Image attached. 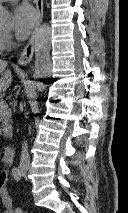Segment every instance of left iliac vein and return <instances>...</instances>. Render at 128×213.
Here are the masks:
<instances>
[{
	"label": "left iliac vein",
	"mask_w": 128,
	"mask_h": 213,
	"mask_svg": "<svg viewBox=\"0 0 128 213\" xmlns=\"http://www.w3.org/2000/svg\"><path fill=\"white\" fill-rule=\"evenodd\" d=\"M22 175L24 178H26V172L22 171Z\"/></svg>",
	"instance_id": "left-iliac-vein-1"
}]
</instances>
